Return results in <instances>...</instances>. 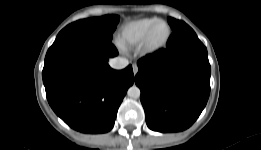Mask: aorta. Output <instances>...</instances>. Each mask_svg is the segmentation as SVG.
Masks as SVG:
<instances>
[{"label": "aorta", "mask_w": 261, "mask_h": 150, "mask_svg": "<svg viewBox=\"0 0 261 150\" xmlns=\"http://www.w3.org/2000/svg\"><path fill=\"white\" fill-rule=\"evenodd\" d=\"M127 94L131 98H139L141 92H140V89L136 85H133L128 89Z\"/></svg>", "instance_id": "obj_1"}]
</instances>
